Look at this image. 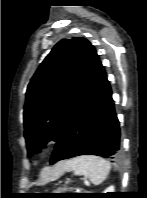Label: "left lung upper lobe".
I'll use <instances>...</instances> for the list:
<instances>
[{
	"mask_svg": "<svg viewBox=\"0 0 147 198\" xmlns=\"http://www.w3.org/2000/svg\"><path fill=\"white\" fill-rule=\"evenodd\" d=\"M98 61L93 45L74 37L59 41L38 67L23 113L28 157L62 138L93 83Z\"/></svg>",
	"mask_w": 147,
	"mask_h": 198,
	"instance_id": "left-lung-upper-lobe-1",
	"label": "left lung upper lobe"
}]
</instances>
